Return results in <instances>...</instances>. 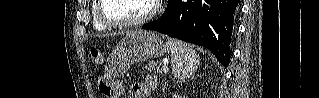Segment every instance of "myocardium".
Masks as SVG:
<instances>
[{
    "label": "myocardium",
    "mask_w": 319,
    "mask_h": 98,
    "mask_svg": "<svg viewBox=\"0 0 319 98\" xmlns=\"http://www.w3.org/2000/svg\"><path fill=\"white\" fill-rule=\"evenodd\" d=\"M106 0H99L98 1V6H97V15L99 20L105 24L108 27H113V28H135L142 26L149 22L157 13L158 8H159V1L158 0H149L150 1V8L148 12L143 15L142 17L131 20V21H118V20H112L109 19L103 12V7H104V2Z\"/></svg>",
    "instance_id": "1"
}]
</instances>
